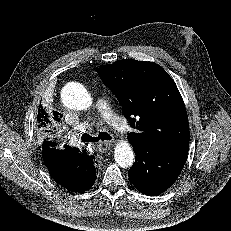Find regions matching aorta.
Segmentation results:
<instances>
[{"label":"aorta","instance_id":"1","mask_svg":"<svg viewBox=\"0 0 231 231\" xmlns=\"http://www.w3.org/2000/svg\"><path fill=\"white\" fill-rule=\"evenodd\" d=\"M61 100L65 107L71 110H87L92 105V97L80 83L70 82L61 91ZM115 162L122 168H130L135 160L131 144L128 141L119 142L114 150Z\"/></svg>","mask_w":231,"mask_h":231}]
</instances>
